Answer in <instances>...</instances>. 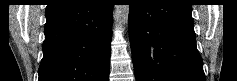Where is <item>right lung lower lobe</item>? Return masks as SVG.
<instances>
[{
  "mask_svg": "<svg viewBox=\"0 0 237 81\" xmlns=\"http://www.w3.org/2000/svg\"><path fill=\"white\" fill-rule=\"evenodd\" d=\"M113 4L72 0L46 10L39 81H108Z\"/></svg>",
  "mask_w": 237,
  "mask_h": 81,
  "instance_id": "1",
  "label": "right lung lower lobe"
}]
</instances>
